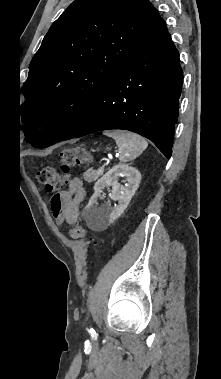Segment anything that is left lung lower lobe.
Segmentation results:
<instances>
[{
    "label": "left lung lower lobe",
    "instance_id": "left-lung-lower-lobe-1",
    "mask_svg": "<svg viewBox=\"0 0 221 379\" xmlns=\"http://www.w3.org/2000/svg\"><path fill=\"white\" fill-rule=\"evenodd\" d=\"M183 82L179 53L163 19L62 139L124 129L150 139L170 158Z\"/></svg>",
    "mask_w": 221,
    "mask_h": 379
}]
</instances>
